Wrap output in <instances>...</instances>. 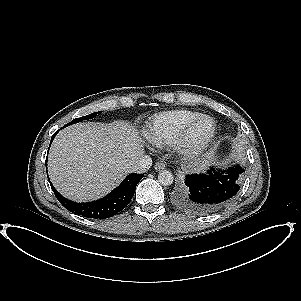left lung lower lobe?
Masks as SVG:
<instances>
[{"label":"left lung lower lobe","instance_id":"1","mask_svg":"<svg viewBox=\"0 0 301 301\" xmlns=\"http://www.w3.org/2000/svg\"><path fill=\"white\" fill-rule=\"evenodd\" d=\"M244 169L239 165L227 171L210 168L206 173L192 174L175 192V202L198 214L213 213L231 203L237 196Z\"/></svg>","mask_w":301,"mask_h":301}]
</instances>
